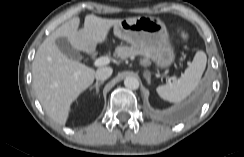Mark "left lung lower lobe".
I'll return each instance as SVG.
<instances>
[{
    "mask_svg": "<svg viewBox=\"0 0 244 157\" xmlns=\"http://www.w3.org/2000/svg\"><path fill=\"white\" fill-rule=\"evenodd\" d=\"M196 104V101H192L189 104H187L184 108V113H190L196 107Z\"/></svg>",
    "mask_w": 244,
    "mask_h": 157,
    "instance_id": "left-lung-lower-lobe-1",
    "label": "left lung lower lobe"
}]
</instances>
